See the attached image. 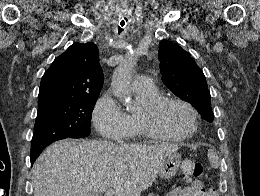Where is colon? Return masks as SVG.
<instances>
[{"mask_svg": "<svg viewBox=\"0 0 260 196\" xmlns=\"http://www.w3.org/2000/svg\"><path fill=\"white\" fill-rule=\"evenodd\" d=\"M181 180L185 183L200 182L206 178V173L201 164L185 160L180 164Z\"/></svg>", "mask_w": 260, "mask_h": 196, "instance_id": "5ec220e1", "label": "colon"}]
</instances>
